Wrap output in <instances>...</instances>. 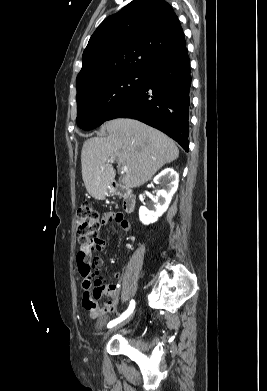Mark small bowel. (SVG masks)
<instances>
[{
	"label": "small bowel",
	"instance_id": "obj_1",
	"mask_svg": "<svg viewBox=\"0 0 267 391\" xmlns=\"http://www.w3.org/2000/svg\"><path fill=\"white\" fill-rule=\"evenodd\" d=\"M115 221L119 223L123 231L130 229L128 221L124 220L121 214L105 213L103 222ZM77 265L80 276L82 277V306L91 314L96 315L99 311L111 310L119 299V288L117 282L121 275L118 272L112 274L113 282L108 283L106 278L101 275L102 260L99 257H92V253H81L77 255ZM106 295L110 300L105 303L102 309L98 306L100 298Z\"/></svg>",
	"mask_w": 267,
	"mask_h": 391
}]
</instances>
